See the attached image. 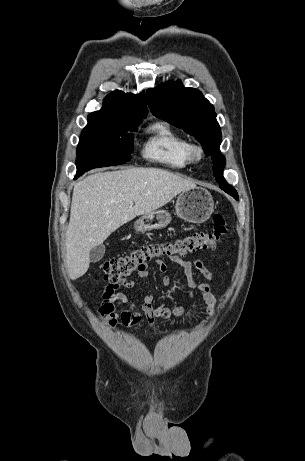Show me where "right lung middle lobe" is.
Returning <instances> with one entry per match:
<instances>
[{"label": "right lung middle lobe", "instance_id": "1", "mask_svg": "<svg viewBox=\"0 0 305 461\" xmlns=\"http://www.w3.org/2000/svg\"><path fill=\"white\" fill-rule=\"evenodd\" d=\"M142 121L88 118L77 146L76 166L82 174L95 167L127 162L133 152V135Z\"/></svg>", "mask_w": 305, "mask_h": 461}]
</instances>
